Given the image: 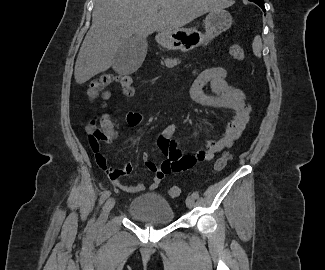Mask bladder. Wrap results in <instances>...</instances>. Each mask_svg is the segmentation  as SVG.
<instances>
[{"instance_id": "31cf9c89", "label": "bladder", "mask_w": 325, "mask_h": 270, "mask_svg": "<svg viewBox=\"0 0 325 270\" xmlns=\"http://www.w3.org/2000/svg\"><path fill=\"white\" fill-rule=\"evenodd\" d=\"M128 214L136 220L150 224H169L175 217L171 204L156 193L135 197L128 206Z\"/></svg>"}]
</instances>
